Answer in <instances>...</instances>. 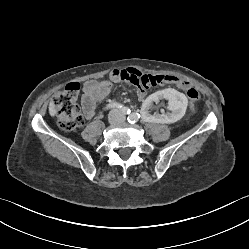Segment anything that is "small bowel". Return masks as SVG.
I'll list each match as a JSON object with an SVG mask.
<instances>
[{"label": "small bowel", "mask_w": 249, "mask_h": 249, "mask_svg": "<svg viewBox=\"0 0 249 249\" xmlns=\"http://www.w3.org/2000/svg\"><path fill=\"white\" fill-rule=\"evenodd\" d=\"M126 81L137 88L138 98L144 102L146 90L141 84L143 74L136 67H128L126 70H113L107 79L101 81L89 80L83 85V96L81 106L84 116L91 119L96 114V106L101 103L110 93L112 87L120 82ZM186 110V109H185Z\"/></svg>", "instance_id": "1"}]
</instances>
